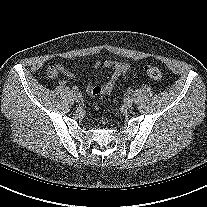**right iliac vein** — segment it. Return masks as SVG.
Returning a JSON list of instances; mask_svg holds the SVG:
<instances>
[{"mask_svg": "<svg viewBox=\"0 0 207 207\" xmlns=\"http://www.w3.org/2000/svg\"><path fill=\"white\" fill-rule=\"evenodd\" d=\"M74 100L77 102V103H80L82 101V96L79 94V93H75L74 94Z\"/></svg>", "mask_w": 207, "mask_h": 207, "instance_id": "obj_1", "label": "right iliac vein"}]
</instances>
